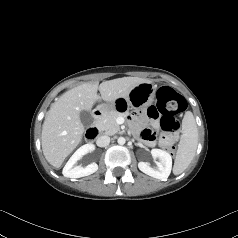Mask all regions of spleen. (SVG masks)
Here are the masks:
<instances>
[{
  "mask_svg": "<svg viewBox=\"0 0 238 238\" xmlns=\"http://www.w3.org/2000/svg\"><path fill=\"white\" fill-rule=\"evenodd\" d=\"M198 145V130L192 112L187 111L182 120V135L174 162L173 173L181 174L191 163Z\"/></svg>",
  "mask_w": 238,
  "mask_h": 238,
  "instance_id": "3e777b00",
  "label": "spleen"
}]
</instances>
